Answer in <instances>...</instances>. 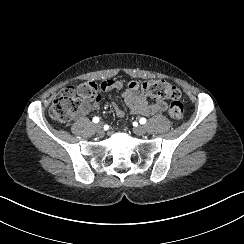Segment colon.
Instances as JSON below:
<instances>
[{"mask_svg": "<svg viewBox=\"0 0 244 244\" xmlns=\"http://www.w3.org/2000/svg\"><path fill=\"white\" fill-rule=\"evenodd\" d=\"M131 93L134 96H145L156 99H170L169 117L174 121H181L184 116V107L178 102L181 91L163 80H149L145 82H131ZM101 84L94 81L82 82L76 86L63 88L53 101L49 114L58 122H67L73 116L81 102L96 103L100 97Z\"/></svg>", "mask_w": 244, "mask_h": 244, "instance_id": "colon-1", "label": "colon"}]
</instances>
